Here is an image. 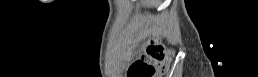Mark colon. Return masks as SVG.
Masks as SVG:
<instances>
[{
	"label": "colon",
	"instance_id": "colon-1",
	"mask_svg": "<svg viewBox=\"0 0 258 77\" xmlns=\"http://www.w3.org/2000/svg\"><path fill=\"white\" fill-rule=\"evenodd\" d=\"M172 51L160 44L150 45L128 70L129 77H158L168 69Z\"/></svg>",
	"mask_w": 258,
	"mask_h": 77
}]
</instances>
